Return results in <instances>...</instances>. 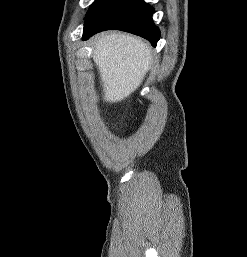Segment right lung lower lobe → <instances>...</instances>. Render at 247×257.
<instances>
[{"label": "right lung lower lobe", "instance_id": "obj_1", "mask_svg": "<svg viewBox=\"0 0 247 257\" xmlns=\"http://www.w3.org/2000/svg\"><path fill=\"white\" fill-rule=\"evenodd\" d=\"M154 8L144 0H96L88 12L83 40L93 34L118 29L139 35L156 46L160 31L154 25Z\"/></svg>", "mask_w": 247, "mask_h": 257}]
</instances>
